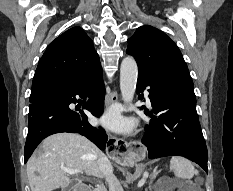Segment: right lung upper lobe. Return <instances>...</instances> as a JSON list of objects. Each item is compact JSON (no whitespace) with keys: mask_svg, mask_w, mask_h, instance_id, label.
Listing matches in <instances>:
<instances>
[{"mask_svg":"<svg viewBox=\"0 0 233 191\" xmlns=\"http://www.w3.org/2000/svg\"><path fill=\"white\" fill-rule=\"evenodd\" d=\"M92 40L80 27L57 37L39 61L32 87L41 84H75L101 70Z\"/></svg>","mask_w":233,"mask_h":191,"instance_id":"1","label":"right lung upper lobe"}]
</instances>
